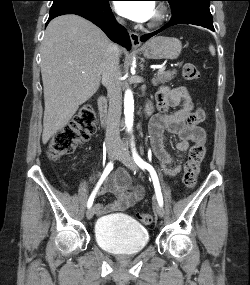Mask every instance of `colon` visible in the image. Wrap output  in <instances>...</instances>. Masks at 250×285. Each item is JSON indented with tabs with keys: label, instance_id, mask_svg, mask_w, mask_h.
Here are the masks:
<instances>
[{
	"label": "colon",
	"instance_id": "5ec220e1",
	"mask_svg": "<svg viewBox=\"0 0 250 285\" xmlns=\"http://www.w3.org/2000/svg\"><path fill=\"white\" fill-rule=\"evenodd\" d=\"M183 76L188 81H196L200 78V71L194 64L187 63L183 67ZM95 129L94 109L90 104H85L67 125L54 134L48 145L49 158L58 160L72 153L78 145L91 137ZM205 154L204 143L197 142L191 146L182 177L186 189H192L196 185L200 165ZM139 220L145 225H150L153 223L154 218L149 213H142L139 215Z\"/></svg>",
	"mask_w": 250,
	"mask_h": 285
}]
</instances>
